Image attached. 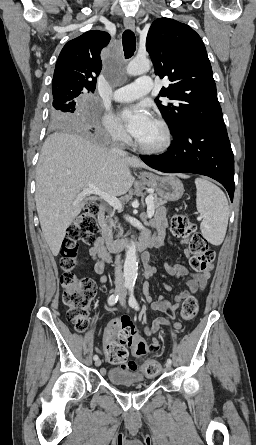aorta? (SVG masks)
<instances>
[{"instance_id":"762f6f07","label":"aorta","mask_w":256,"mask_h":445,"mask_svg":"<svg viewBox=\"0 0 256 445\" xmlns=\"http://www.w3.org/2000/svg\"><path fill=\"white\" fill-rule=\"evenodd\" d=\"M150 70V61L146 58L139 59L135 58L131 60L127 67L126 71L129 75H140L146 73ZM138 271V263L136 256V246L134 242L128 247L126 251V258L124 262V279L125 283L129 285L135 284L137 278Z\"/></svg>"}]
</instances>
